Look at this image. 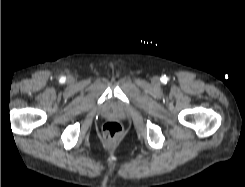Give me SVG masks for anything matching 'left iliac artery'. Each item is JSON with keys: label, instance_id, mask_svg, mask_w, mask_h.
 <instances>
[{"label": "left iliac artery", "instance_id": "1", "mask_svg": "<svg viewBox=\"0 0 245 187\" xmlns=\"http://www.w3.org/2000/svg\"><path fill=\"white\" fill-rule=\"evenodd\" d=\"M161 81L164 82V83H166V82H167L166 76L162 77V78H161Z\"/></svg>", "mask_w": 245, "mask_h": 187}]
</instances>
